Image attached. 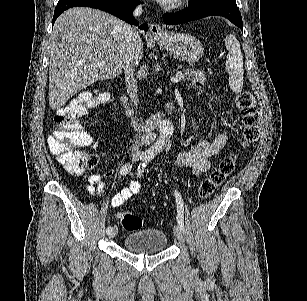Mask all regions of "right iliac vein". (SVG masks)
I'll use <instances>...</instances> for the list:
<instances>
[{
    "label": "right iliac vein",
    "mask_w": 307,
    "mask_h": 301,
    "mask_svg": "<svg viewBox=\"0 0 307 301\" xmlns=\"http://www.w3.org/2000/svg\"><path fill=\"white\" fill-rule=\"evenodd\" d=\"M117 233H118V228H117V226H114L112 231L110 232V234H108L109 238L113 239L117 235Z\"/></svg>",
    "instance_id": "obj_1"
}]
</instances>
